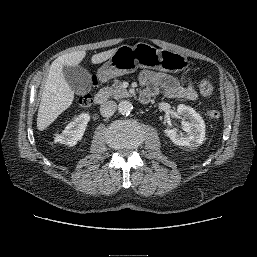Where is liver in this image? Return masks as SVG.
<instances>
[{"label":"liver","instance_id":"obj_1","mask_svg":"<svg viewBox=\"0 0 257 257\" xmlns=\"http://www.w3.org/2000/svg\"><path fill=\"white\" fill-rule=\"evenodd\" d=\"M118 48L95 54L91 58L93 64L102 63L112 57ZM85 51H75L59 56L53 61L44 85L37 115V129H46L67 108L74 99V91L64 78V66H78L85 58Z\"/></svg>","mask_w":257,"mask_h":257}]
</instances>
